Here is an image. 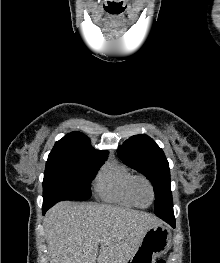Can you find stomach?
Masks as SVG:
<instances>
[{"label":"stomach","mask_w":220,"mask_h":263,"mask_svg":"<svg viewBox=\"0 0 220 263\" xmlns=\"http://www.w3.org/2000/svg\"><path fill=\"white\" fill-rule=\"evenodd\" d=\"M171 244V232L162 224L147 230L127 263H156Z\"/></svg>","instance_id":"obj_1"}]
</instances>
